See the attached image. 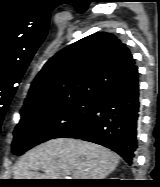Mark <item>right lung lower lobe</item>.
<instances>
[{"label": "right lung lower lobe", "mask_w": 160, "mask_h": 187, "mask_svg": "<svg viewBox=\"0 0 160 187\" xmlns=\"http://www.w3.org/2000/svg\"><path fill=\"white\" fill-rule=\"evenodd\" d=\"M140 117L138 68L133 66L97 98L93 114L64 138L90 141L135 163Z\"/></svg>", "instance_id": "98d812e1"}]
</instances>
